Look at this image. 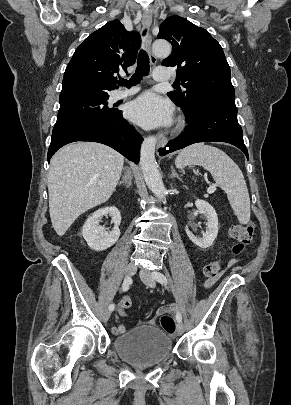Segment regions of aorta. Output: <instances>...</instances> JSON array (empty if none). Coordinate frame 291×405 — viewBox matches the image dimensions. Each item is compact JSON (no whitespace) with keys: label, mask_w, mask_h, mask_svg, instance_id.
<instances>
[{"label":"aorta","mask_w":291,"mask_h":405,"mask_svg":"<svg viewBox=\"0 0 291 405\" xmlns=\"http://www.w3.org/2000/svg\"><path fill=\"white\" fill-rule=\"evenodd\" d=\"M152 50L155 55L166 57L171 53V45L166 40H156L152 45ZM155 146L156 138L154 136L144 139L140 150V166L148 188L158 198L163 199L166 196V189L155 159Z\"/></svg>","instance_id":"762f6f07"}]
</instances>
